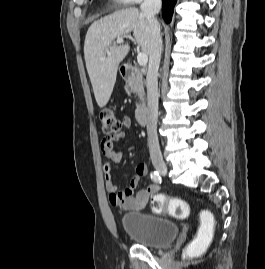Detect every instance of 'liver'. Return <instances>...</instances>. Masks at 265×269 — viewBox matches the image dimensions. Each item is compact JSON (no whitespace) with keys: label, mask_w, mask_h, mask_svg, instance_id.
Returning <instances> with one entry per match:
<instances>
[{"label":"liver","mask_w":265,"mask_h":269,"mask_svg":"<svg viewBox=\"0 0 265 269\" xmlns=\"http://www.w3.org/2000/svg\"><path fill=\"white\" fill-rule=\"evenodd\" d=\"M143 53L149 55L151 33L145 17L136 8H125L105 16L91 24L85 43L86 68L93 87L96 102L104 107L112 94L120 62L129 52V45H114L117 38L130 33Z\"/></svg>","instance_id":"6515ba94"}]
</instances>
